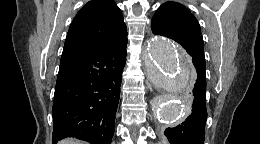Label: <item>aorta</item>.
<instances>
[{
  "mask_svg": "<svg viewBox=\"0 0 260 144\" xmlns=\"http://www.w3.org/2000/svg\"><path fill=\"white\" fill-rule=\"evenodd\" d=\"M145 56L150 81L171 92L153 102L158 119L171 123L181 121L187 113L185 91L192 75L189 56L173 41L161 36H153L148 41Z\"/></svg>",
  "mask_w": 260,
  "mask_h": 144,
  "instance_id": "762f6f07",
  "label": "aorta"
}]
</instances>
